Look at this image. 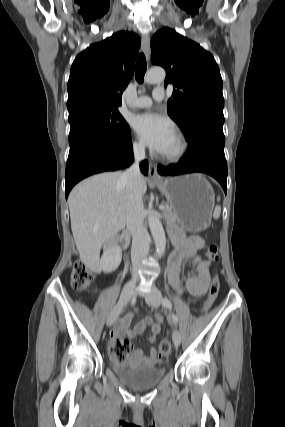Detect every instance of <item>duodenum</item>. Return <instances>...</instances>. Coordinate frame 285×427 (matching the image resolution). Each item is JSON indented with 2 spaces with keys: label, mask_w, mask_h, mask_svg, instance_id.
Instances as JSON below:
<instances>
[{
  "label": "duodenum",
  "mask_w": 285,
  "mask_h": 427,
  "mask_svg": "<svg viewBox=\"0 0 285 427\" xmlns=\"http://www.w3.org/2000/svg\"><path fill=\"white\" fill-rule=\"evenodd\" d=\"M128 240V237L127 236H124L123 238H121V241L122 242H125V241H127Z\"/></svg>",
  "instance_id": "1"
}]
</instances>
